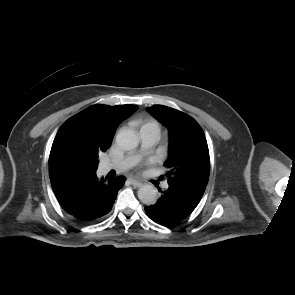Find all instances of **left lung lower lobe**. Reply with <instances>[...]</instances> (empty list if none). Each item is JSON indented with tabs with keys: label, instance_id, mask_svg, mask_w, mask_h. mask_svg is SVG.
Segmentation results:
<instances>
[{
	"label": "left lung lower lobe",
	"instance_id": "left-lung-lower-lobe-1",
	"mask_svg": "<svg viewBox=\"0 0 295 295\" xmlns=\"http://www.w3.org/2000/svg\"><path fill=\"white\" fill-rule=\"evenodd\" d=\"M168 184V189L162 193L158 201L145 207L147 215L163 226H171L187 218L204 194L198 187L185 189L176 184Z\"/></svg>",
	"mask_w": 295,
	"mask_h": 295
}]
</instances>
